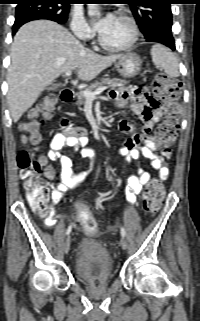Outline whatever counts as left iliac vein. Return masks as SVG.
Returning a JSON list of instances; mask_svg holds the SVG:
<instances>
[{"label":"left iliac vein","instance_id":"left-iliac-vein-1","mask_svg":"<svg viewBox=\"0 0 200 321\" xmlns=\"http://www.w3.org/2000/svg\"><path fill=\"white\" fill-rule=\"evenodd\" d=\"M120 245H121L122 249H126L127 245H128L127 240L122 238L121 242H120Z\"/></svg>","mask_w":200,"mask_h":321}]
</instances>
